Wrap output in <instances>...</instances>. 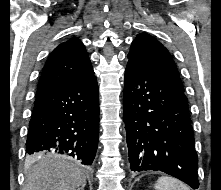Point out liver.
<instances>
[{
	"mask_svg": "<svg viewBox=\"0 0 221 190\" xmlns=\"http://www.w3.org/2000/svg\"><path fill=\"white\" fill-rule=\"evenodd\" d=\"M35 161H27L24 190H76L86 184L82 170L65 159L43 158L33 165Z\"/></svg>",
	"mask_w": 221,
	"mask_h": 190,
	"instance_id": "1",
	"label": "liver"
}]
</instances>
